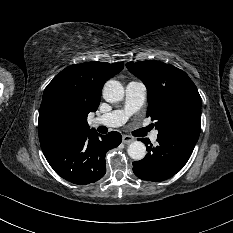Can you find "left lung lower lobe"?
Segmentation results:
<instances>
[{"label":"left lung lower lobe","instance_id":"left-lung-lower-lobe-1","mask_svg":"<svg viewBox=\"0 0 233 233\" xmlns=\"http://www.w3.org/2000/svg\"><path fill=\"white\" fill-rule=\"evenodd\" d=\"M199 134L184 131L157 138L154 147L148 139L140 140L146 144L147 155L140 161L133 162V171L142 180L163 181L180 171L190 158L198 141Z\"/></svg>","mask_w":233,"mask_h":233}]
</instances>
